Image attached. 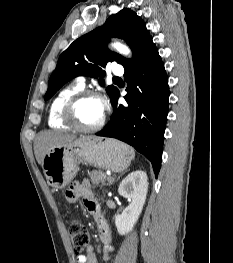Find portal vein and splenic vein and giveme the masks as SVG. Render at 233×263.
<instances>
[{
	"label": "portal vein and splenic vein",
	"mask_w": 233,
	"mask_h": 263,
	"mask_svg": "<svg viewBox=\"0 0 233 263\" xmlns=\"http://www.w3.org/2000/svg\"><path fill=\"white\" fill-rule=\"evenodd\" d=\"M112 180H113V178H112V177H109V178H108V181H112Z\"/></svg>",
	"instance_id": "obj_1"
}]
</instances>
